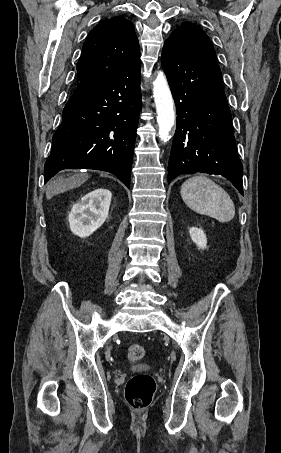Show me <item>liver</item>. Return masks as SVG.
Instances as JSON below:
<instances>
[{
    "instance_id": "obj_1",
    "label": "liver",
    "mask_w": 281,
    "mask_h": 453,
    "mask_svg": "<svg viewBox=\"0 0 281 453\" xmlns=\"http://www.w3.org/2000/svg\"><path fill=\"white\" fill-rule=\"evenodd\" d=\"M88 178L87 172H78V174H72V176H67V178H53L47 184L46 198H52L55 194L66 192L70 188H77V186L83 184Z\"/></svg>"
}]
</instances>
